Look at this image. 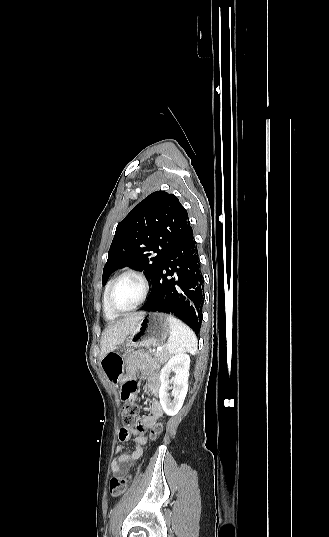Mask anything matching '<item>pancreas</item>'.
<instances>
[{"instance_id": "1", "label": "pancreas", "mask_w": 329, "mask_h": 537, "mask_svg": "<svg viewBox=\"0 0 329 537\" xmlns=\"http://www.w3.org/2000/svg\"><path fill=\"white\" fill-rule=\"evenodd\" d=\"M149 352L154 356L155 360L164 363L170 355L167 353L165 349H162L161 351H155L154 349H149Z\"/></svg>"}]
</instances>
